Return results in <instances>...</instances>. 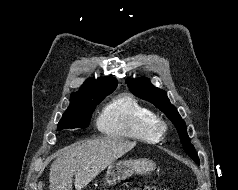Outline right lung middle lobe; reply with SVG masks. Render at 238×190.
<instances>
[{
    "label": "right lung middle lobe",
    "mask_w": 238,
    "mask_h": 190,
    "mask_svg": "<svg viewBox=\"0 0 238 190\" xmlns=\"http://www.w3.org/2000/svg\"><path fill=\"white\" fill-rule=\"evenodd\" d=\"M108 94L110 93L83 98L78 105L68 107L58 123V130L86 128L90 123L91 114L96 105H98Z\"/></svg>",
    "instance_id": "dd1d6c3e"
}]
</instances>
